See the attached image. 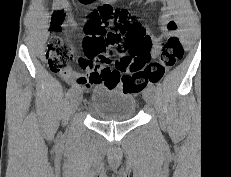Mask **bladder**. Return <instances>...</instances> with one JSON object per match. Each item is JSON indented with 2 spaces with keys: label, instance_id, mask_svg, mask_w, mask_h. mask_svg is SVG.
<instances>
[{
  "label": "bladder",
  "instance_id": "bladder-1",
  "mask_svg": "<svg viewBox=\"0 0 231 177\" xmlns=\"http://www.w3.org/2000/svg\"><path fill=\"white\" fill-rule=\"evenodd\" d=\"M90 106L101 120L126 121L135 116L136 99L129 92L102 85L94 89Z\"/></svg>",
  "mask_w": 231,
  "mask_h": 177
}]
</instances>
